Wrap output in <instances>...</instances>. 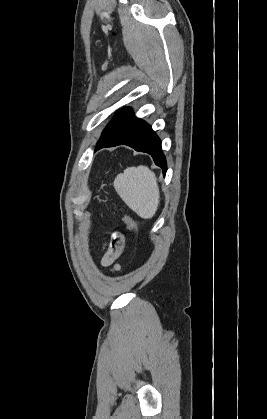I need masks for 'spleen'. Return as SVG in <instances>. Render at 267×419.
Here are the masks:
<instances>
[{"mask_svg": "<svg viewBox=\"0 0 267 419\" xmlns=\"http://www.w3.org/2000/svg\"><path fill=\"white\" fill-rule=\"evenodd\" d=\"M122 200L141 218H152L159 205L157 178L148 167H128L114 180Z\"/></svg>", "mask_w": 267, "mask_h": 419, "instance_id": "1", "label": "spleen"}]
</instances>
